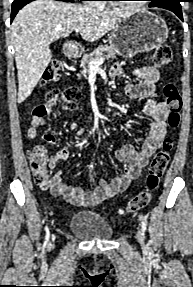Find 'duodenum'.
<instances>
[{
	"label": "duodenum",
	"mask_w": 193,
	"mask_h": 287,
	"mask_svg": "<svg viewBox=\"0 0 193 287\" xmlns=\"http://www.w3.org/2000/svg\"><path fill=\"white\" fill-rule=\"evenodd\" d=\"M63 54L66 59H76L80 54V45L73 42L65 44V46L63 47Z\"/></svg>",
	"instance_id": "obj_1"
}]
</instances>
